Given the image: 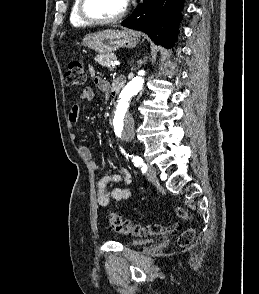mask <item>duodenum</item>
I'll list each match as a JSON object with an SVG mask.
<instances>
[{
  "instance_id": "1",
  "label": "duodenum",
  "mask_w": 259,
  "mask_h": 294,
  "mask_svg": "<svg viewBox=\"0 0 259 294\" xmlns=\"http://www.w3.org/2000/svg\"><path fill=\"white\" fill-rule=\"evenodd\" d=\"M123 83H124V79L123 78H119V79H117L115 81V83H114V90H115L116 93L120 90V88L123 85Z\"/></svg>"
}]
</instances>
